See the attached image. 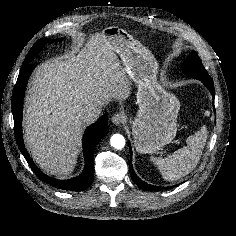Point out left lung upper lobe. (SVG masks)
<instances>
[{"mask_svg":"<svg viewBox=\"0 0 236 236\" xmlns=\"http://www.w3.org/2000/svg\"><path fill=\"white\" fill-rule=\"evenodd\" d=\"M183 71L186 75L192 76L194 78H208L210 77L204 68L201 59L197 53L192 52V54L187 58L186 63L183 67Z\"/></svg>","mask_w":236,"mask_h":236,"instance_id":"5c2ea615","label":"left lung upper lobe"}]
</instances>
